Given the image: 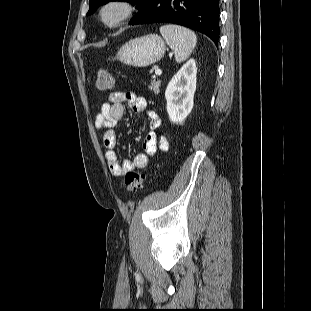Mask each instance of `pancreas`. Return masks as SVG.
Listing matches in <instances>:
<instances>
[{
  "label": "pancreas",
  "mask_w": 311,
  "mask_h": 311,
  "mask_svg": "<svg viewBox=\"0 0 311 311\" xmlns=\"http://www.w3.org/2000/svg\"><path fill=\"white\" fill-rule=\"evenodd\" d=\"M161 81L160 80H153L151 82V85L149 86L150 90H152L155 94H158L160 92Z\"/></svg>",
  "instance_id": "obj_1"
}]
</instances>
